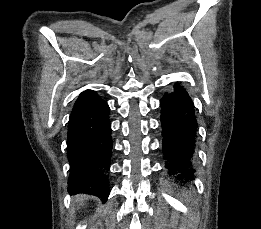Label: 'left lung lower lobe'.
<instances>
[{"mask_svg": "<svg viewBox=\"0 0 261 229\" xmlns=\"http://www.w3.org/2000/svg\"><path fill=\"white\" fill-rule=\"evenodd\" d=\"M161 106L165 168L176 178L193 180L195 170L191 167L198 124L191 98L176 83L175 93H166L161 99Z\"/></svg>", "mask_w": 261, "mask_h": 229, "instance_id": "0a47b994", "label": "left lung lower lobe"}]
</instances>
